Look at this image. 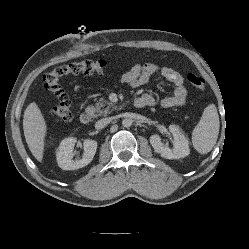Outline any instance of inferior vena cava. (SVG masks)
I'll return each mask as SVG.
<instances>
[{"instance_id":"inferior-vena-cava-1","label":"inferior vena cava","mask_w":249,"mask_h":249,"mask_svg":"<svg viewBox=\"0 0 249 249\" xmlns=\"http://www.w3.org/2000/svg\"><path fill=\"white\" fill-rule=\"evenodd\" d=\"M111 120H112V118H110V117L100 119V120H98V121L95 123V128H96V129H102V128H104L105 126H107V125L111 122Z\"/></svg>"}]
</instances>
